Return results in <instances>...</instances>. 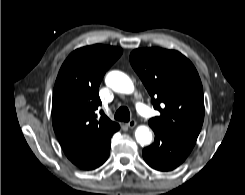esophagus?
Segmentation results:
<instances>
[{
	"label": "esophagus",
	"mask_w": 245,
	"mask_h": 195,
	"mask_svg": "<svg viewBox=\"0 0 245 195\" xmlns=\"http://www.w3.org/2000/svg\"><path fill=\"white\" fill-rule=\"evenodd\" d=\"M136 121L135 120H130L129 122L126 123V126L129 128H134L136 126Z\"/></svg>",
	"instance_id": "34e87169"
}]
</instances>
